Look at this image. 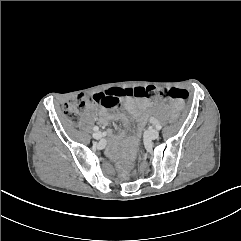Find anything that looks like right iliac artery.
Masks as SVG:
<instances>
[{
    "instance_id": "obj_1",
    "label": "right iliac artery",
    "mask_w": 241,
    "mask_h": 241,
    "mask_svg": "<svg viewBox=\"0 0 241 241\" xmlns=\"http://www.w3.org/2000/svg\"><path fill=\"white\" fill-rule=\"evenodd\" d=\"M93 130H94V131H98L99 128H98L97 126H95V127L93 128Z\"/></svg>"
}]
</instances>
